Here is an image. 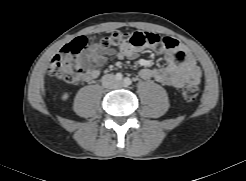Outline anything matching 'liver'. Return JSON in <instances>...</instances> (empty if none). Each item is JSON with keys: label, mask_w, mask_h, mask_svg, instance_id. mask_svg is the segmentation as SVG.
I'll return each mask as SVG.
<instances>
[{"label": "liver", "mask_w": 246, "mask_h": 181, "mask_svg": "<svg viewBox=\"0 0 246 181\" xmlns=\"http://www.w3.org/2000/svg\"><path fill=\"white\" fill-rule=\"evenodd\" d=\"M55 67H56L55 64L51 65V69L49 71V74H52L55 71Z\"/></svg>", "instance_id": "6515ba94"}]
</instances>
